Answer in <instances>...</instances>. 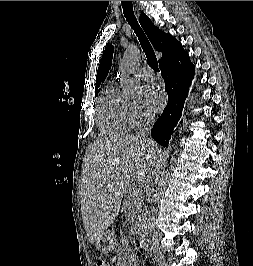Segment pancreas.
<instances>
[{
    "mask_svg": "<svg viewBox=\"0 0 253 266\" xmlns=\"http://www.w3.org/2000/svg\"><path fill=\"white\" fill-rule=\"evenodd\" d=\"M134 191H137V195H133ZM140 198V191L136 188H133L127 192L124 206L132 222L135 221V214L139 213V209L137 207L139 205Z\"/></svg>",
    "mask_w": 253,
    "mask_h": 266,
    "instance_id": "cf45deb5",
    "label": "pancreas"
}]
</instances>
